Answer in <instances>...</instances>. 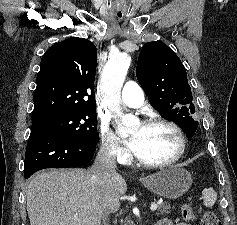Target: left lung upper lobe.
<instances>
[{
	"mask_svg": "<svg viewBox=\"0 0 237 225\" xmlns=\"http://www.w3.org/2000/svg\"><path fill=\"white\" fill-rule=\"evenodd\" d=\"M137 79L151 105L165 119L176 122L187 136L194 135L191 88L179 57L162 41L146 43L136 67Z\"/></svg>",
	"mask_w": 237,
	"mask_h": 225,
	"instance_id": "1",
	"label": "left lung upper lobe"
}]
</instances>
